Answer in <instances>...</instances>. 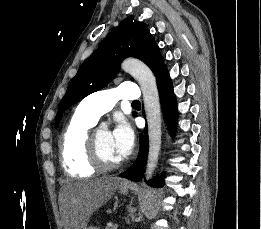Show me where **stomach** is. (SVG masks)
Wrapping results in <instances>:
<instances>
[{
    "mask_svg": "<svg viewBox=\"0 0 261 229\" xmlns=\"http://www.w3.org/2000/svg\"><path fill=\"white\" fill-rule=\"evenodd\" d=\"M119 193H121V195H128L129 187H119ZM88 229H96V227H88Z\"/></svg>",
    "mask_w": 261,
    "mask_h": 229,
    "instance_id": "obj_1",
    "label": "stomach"
}]
</instances>
